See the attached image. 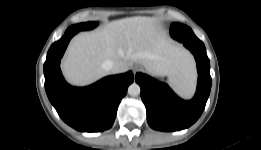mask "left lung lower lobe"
Masks as SVG:
<instances>
[{"label": "left lung lower lobe", "instance_id": "left-lung-lower-lobe-1", "mask_svg": "<svg viewBox=\"0 0 261 150\" xmlns=\"http://www.w3.org/2000/svg\"><path fill=\"white\" fill-rule=\"evenodd\" d=\"M170 34L193 53L197 62L198 85L194 98L184 101L167 84L146 74H136L135 80L141 87L148 124L160 131H177L191 126L205 108L212 83L210 62L203 42L195 36L190 27L180 23L171 25Z\"/></svg>", "mask_w": 261, "mask_h": 150}]
</instances>
